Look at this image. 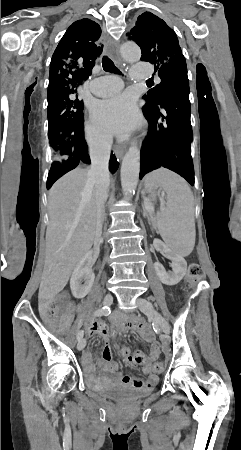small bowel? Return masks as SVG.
Here are the masks:
<instances>
[{"label": "small bowel", "mask_w": 241, "mask_h": 450, "mask_svg": "<svg viewBox=\"0 0 241 450\" xmlns=\"http://www.w3.org/2000/svg\"><path fill=\"white\" fill-rule=\"evenodd\" d=\"M42 310H36V319H56L59 316L58 308L55 307L54 301L44 300L41 303ZM61 317L64 319H72L75 316L74 311L64 310L61 312ZM56 328H68L70 323L68 321L58 320L55 323ZM81 328H86L88 334H94L101 337L104 341L102 349V360L99 363V370L96 371V366L92 361L90 353L84 354V362L87 372L92 376L93 381L99 385H122L140 389L144 392L151 391L158 383V377L153 369V362H155L160 354V344L156 339L151 329L139 330L136 322H126L120 327L121 331L131 330L137 332L142 340L150 345V350L145 353L143 350H137L133 355L128 346L120 348V355L124 361L134 366H142V371L146 378L134 377L131 375H122L118 373V364L111 360V347L109 345V338L112 336L110 328L101 321L92 319L88 321L81 319L79 321Z\"/></svg>", "instance_id": "1"}]
</instances>
